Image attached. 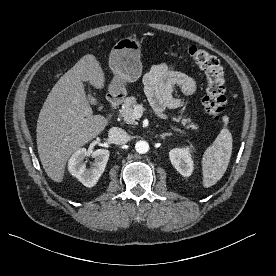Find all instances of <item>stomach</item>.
Returning a JSON list of instances; mask_svg holds the SVG:
<instances>
[{
    "label": "stomach",
    "mask_w": 276,
    "mask_h": 276,
    "mask_svg": "<svg viewBox=\"0 0 276 276\" xmlns=\"http://www.w3.org/2000/svg\"><path fill=\"white\" fill-rule=\"evenodd\" d=\"M141 42L134 38L119 40L112 48L109 56V67L114 78L109 85L112 95L125 91L124 84L136 81L142 70Z\"/></svg>",
    "instance_id": "obj_1"
}]
</instances>
